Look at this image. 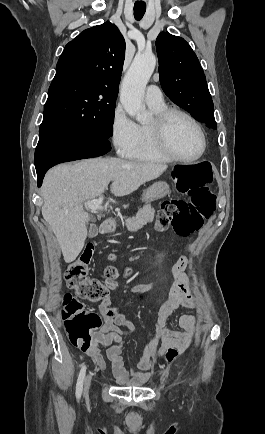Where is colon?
Here are the masks:
<instances>
[{"label": "colon", "instance_id": "5ec220e1", "mask_svg": "<svg viewBox=\"0 0 265 434\" xmlns=\"http://www.w3.org/2000/svg\"><path fill=\"white\" fill-rule=\"evenodd\" d=\"M173 173H177L180 189H185L190 200L181 198L166 199L157 213L160 229H171L181 237H187L202 228L203 222L214 211L216 194L210 190L214 183L210 164H173ZM94 249L86 250L76 262L66 269L64 281L68 288L75 291L68 293L64 300L67 307L63 312L62 332L68 335L70 347H89L90 335H95L98 327H103L104 320L100 314L83 311L84 304L78 298L91 302H106L115 290L116 271L109 267L104 271L102 279H93L88 275V266L92 260ZM85 331V332H81ZM173 345L166 349L165 359L168 363L181 356Z\"/></svg>", "mask_w": 265, "mask_h": 434}]
</instances>
